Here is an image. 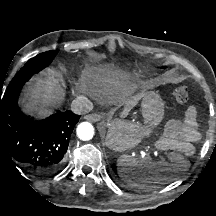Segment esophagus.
Masks as SVG:
<instances>
[{
	"label": "esophagus",
	"instance_id": "1",
	"mask_svg": "<svg viewBox=\"0 0 216 216\" xmlns=\"http://www.w3.org/2000/svg\"><path fill=\"white\" fill-rule=\"evenodd\" d=\"M84 118L91 122H97L101 119V115L99 113H91L86 115Z\"/></svg>",
	"mask_w": 216,
	"mask_h": 216
}]
</instances>
